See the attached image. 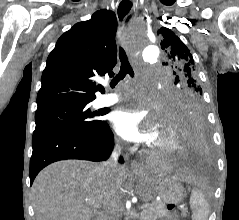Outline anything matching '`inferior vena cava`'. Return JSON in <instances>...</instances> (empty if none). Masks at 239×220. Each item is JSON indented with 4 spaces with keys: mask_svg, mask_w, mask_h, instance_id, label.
I'll list each match as a JSON object with an SVG mask.
<instances>
[{
    "mask_svg": "<svg viewBox=\"0 0 239 220\" xmlns=\"http://www.w3.org/2000/svg\"><path fill=\"white\" fill-rule=\"evenodd\" d=\"M120 151H121V147L116 144L111 157L107 161H105L102 165V171L105 173V175L109 179L112 178L113 173L118 168L117 159H118Z\"/></svg>",
    "mask_w": 239,
    "mask_h": 220,
    "instance_id": "1",
    "label": "inferior vena cava"
}]
</instances>
